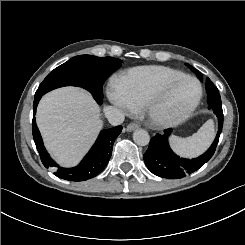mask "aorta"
Segmentation results:
<instances>
[{
    "label": "aorta",
    "mask_w": 245,
    "mask_h": 245,
    "mask_svg": "<svg viewBox=\"0 0 245 245\" xmlns=\"http://www.w3.org/2000/svg\"><path fill=\"white\" fill-rule=\"evenodd\" d=\"M133 140L139 146H145L150 141V136L146 130L137 129L133 133Z\"/></svg>",
    "instance_id": "762f6f07"
}]
</instances>
